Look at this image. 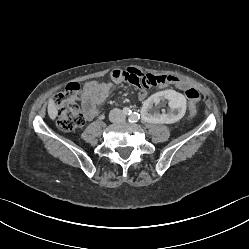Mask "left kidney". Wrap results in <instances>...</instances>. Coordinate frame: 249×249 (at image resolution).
<instances>
[{
	"label": "left kidney",
	"mask_w": 249,
	"mask_h": 249,
	"mask_svg": "<svg viewBox=\"0 0 249 249\" xmlns=\"http://www.w3.org/2000/svg\"><path fill=\"white\" fill-rule=\"evenodd\" d=\"M186 106L187 101L181 93L165 90L146 99L139 115L148 125L169 124L184 116Z\"/></svg>",
	"instance_id": "left-kidney-1"
}]
</instances>
